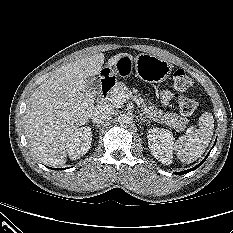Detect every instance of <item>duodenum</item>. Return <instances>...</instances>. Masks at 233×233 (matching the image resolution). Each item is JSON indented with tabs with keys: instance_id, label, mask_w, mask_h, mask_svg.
Returning <instances> with one entry per match:
<instances>
[{
	"instance_id": "1",
	"label": "duodenum",
	"mask_w": 233,
	"mask_h": 233,
	"mask_svg": "<svg viewBox=\"0 0 233 233\" xmlns=\"http://www.w3.org/2000/svg\"><path fill=\"white\" fill-rule=\"evenodd\" d=\"M115 85V79L113 77H105L101 81V86H100V100H104L106 96L109 94L110 90L113 88Z\"/></svg>"
}]
</instances>
